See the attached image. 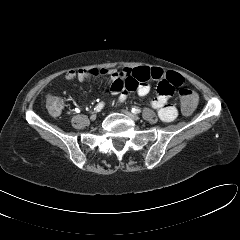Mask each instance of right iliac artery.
<instances>
[{
    "label": "right iliac artery",
    "mask_w": 240,
    "mask_h": 240,
    "mask_svg": "<svg viewBox=\"0 0 240 240\" xmlns=\"http://www.w3.org/2000/svg\"><path fill=\"white\" fill-rule=\"evenodd\" d=\"M104 107V103L103 102H100L95 108H94V111L95 112H100Z\"/></svg>",
    "instance_id": "right-iliac-artery-1"
}]
</instances>
